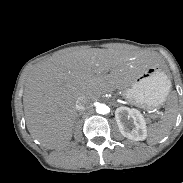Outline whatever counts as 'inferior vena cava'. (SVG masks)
Returning <instances> with one entry per match:
<instances>
[{
    "label": "inferior vena cava",
    "instance_id": "inferior-vena-cava-1",
    "mask_svg": "<svg viewBox=\"0 0 183 183\" xmlns=\"http://www.w3.org/2000/svg\"><path fill=\"white\" fill-rule=\"evenodd\" d=\"M88 104V100L85 97H79L76 101V109L82 111L85 109V105Z\"/></svg>",
    "mask_w": 183,
    "mask_h": 183
}]
</instances>
